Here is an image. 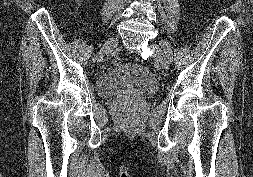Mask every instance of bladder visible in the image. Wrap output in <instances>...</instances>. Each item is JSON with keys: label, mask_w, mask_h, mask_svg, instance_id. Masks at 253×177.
<instances>
[{"label": "bladder", "mask_w": 253, "mask_h": 177, "mask_svg": "<svg viewBox=\"0 0 253 177\" xmlns=\"http://www.w3.org/2000/svg\"><path fill=\"white\" fill-rule=\"evenodd\" d=\"M158 83L151 71L144 65L120 64L101 74L96 83L99 95L143 96L156 91Z\"/></svg>", "instance_id": "1"}]
</instances>
